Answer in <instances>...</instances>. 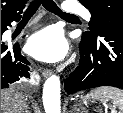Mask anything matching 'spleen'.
<instances>
[{
  "label": "spleen",
  "mask_w": 123,
  "mask_h": 113,
  "mask_svg": "<svg viewBox=\"0 0 123 113\" xmlns=\"http://www.w3.org/2000/svg\"><path fill=\"white\" fill-rule=\"evenodd\" d=\"M88 99L99 100L103 103L111 101L123 113V91L114 87H99L87 94Z\"/></svg>",
  "instance_id": "1"
}]
</instances>
